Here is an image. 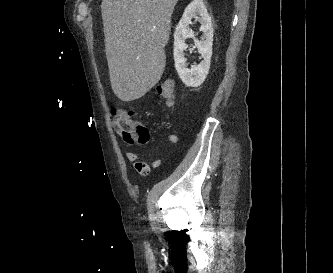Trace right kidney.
Masks as SVG:
<instances>
[{
	"label": "right kidney",
	"instance_id": "ca27d5eb",
	"mask_svg": "<svg viewBox=\"0 0 333 273\" xmlns=\"http://www.w3.org/2000/svg\"><path fill=\"white\" fill-rule=\"evenodd\" d=\"M199 15L200 28L203 32V41L194 39L195 46L198 52L203 57V61L191 69L187 68L186 58L184 51L187 49L185 39L194 37L193 31L190 29L189 24L191 19ZM212 43H213V27L211 18L207 12V9L203 3V0L192 1L185 9L181 20L176 26L174 32V61L176 71L182 80V82L188 87L200 86L210 68V60L212 56Z\"/></svg>",
	"mask_w": 333,
	"mask_h": 273
}]
</instances>
